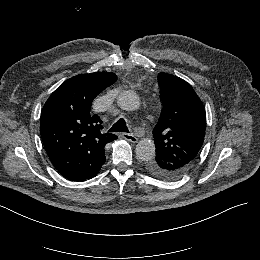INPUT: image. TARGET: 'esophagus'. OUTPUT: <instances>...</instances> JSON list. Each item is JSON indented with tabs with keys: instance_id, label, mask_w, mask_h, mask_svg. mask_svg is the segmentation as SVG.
Masks as SVG:
<instances>
[{
	"instance_id": "1",
	"label": "esophagus",
	"mask_w": 260,
	"mask_h": 260,
	"mask_svg": "<svg viewBox=\"0 0 260 260\" xmlns=\"http://www.w3.org/2000/svg\"><path fill=\"white\" fill-rule=\"evenodd\" d=\"M122 137L126 139L127 141H130L132 143H137L138 139L132 134L123 133Z\"/></svg>"
}]
</instances>
